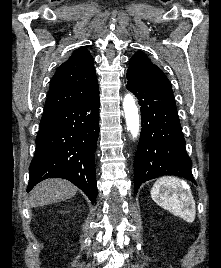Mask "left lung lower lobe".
I'll return each mask as SVG.
<instances>
[{
	"label": "left lung lower lobe",
	"mask_w": 221,
	"mask_h": 268,
	"mask_svg": "<svg viewBox=\"0 0 221 268\" xmlns=\"http://www.w3.org/2000/svg\"><path fill=\"white\" fill-rule=\"evenodd\" d=\"M126 87L138 98L143 124L134 163L135 193L143 182L162 175H176L195 183L172 92L130 81Z\"/></svg>",
	"instance_id": "1"
}]
</instances>
